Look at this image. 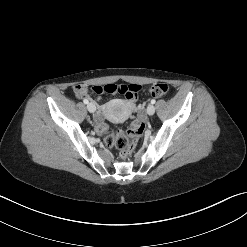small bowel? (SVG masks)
Returning a JSON list of instances; mask_svg holds the SVG:
<instances>
[{
    "mask_svg": "<svg viewBox=\"0 0 247 247\" xmlns=\"http://www.w3.org/2000/svg\"><path fill=\"white\" fill-rule=\"evenodd\" d=\"M74 91H75V94H76V96L78 98H81V97H90L91 94L93 93L85 85H83V91H81V92L77 91L76 90V87H75ZM99 100H100V97L98 96L96 98V101H99ZM128 107H129V109L131 111H138V110H140V106H138L137 104L136 105L131 104L129 102H128ZM103 114H104V108H100L99 111H98V113H97V115H96V118H95V122H96V124H97V126H98L99 129L103 125L102 124V122H103Z\"/></svg>",
    "mask_w": 247,
    "mask_h": 247,
    "instance_id": "1",
    "label": "small bowel"
}]
</instances>
